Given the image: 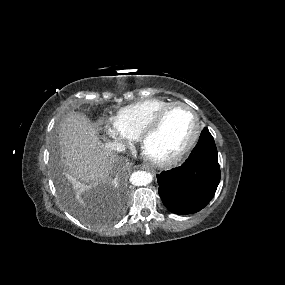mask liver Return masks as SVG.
Here are the masks:
<instances>
[{"label": "liver", "instance_id": "liver-1", "mask_svg": "<svg viewBox=\"0 0 285 285\" xmlns=\"http://www.w3.org/2000/svg\"><path fill=\"white\" fill-rule=\"evenodd\" d=\"M60 145L64 164L77 186L104 181L112 169L109 153L103 148L88 118L73 113L60 125Z\"/></svg>", "mask_w": 285, "mask_h": 285}]
</instances>
